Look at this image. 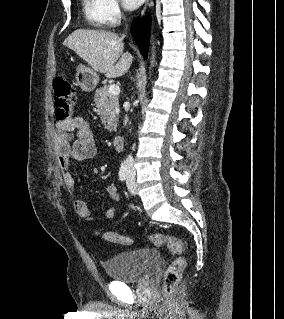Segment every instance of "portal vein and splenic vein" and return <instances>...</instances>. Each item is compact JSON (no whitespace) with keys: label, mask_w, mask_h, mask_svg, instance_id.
<instances>
[{"label":"portal vein and splenic vein","mask_w":284,"mask_h":319,"mask_svg":"<svg viewBox=\"0 0 284 319\" xmlns=\"http://www.w3.org/2000/svg\"><path fill=\"white\" fill-rule=\"evenodd\" d=\"M108 92H109L111 95L117 96V95H119V93H120V88H119L118 85L112 84V85L109 86Z\"/></svg>","instance_id":"1"}]
</instances>
